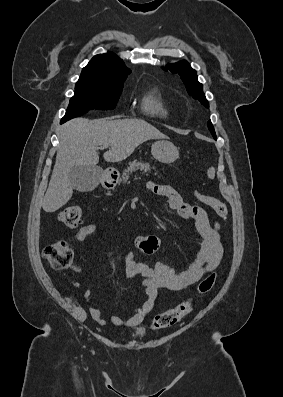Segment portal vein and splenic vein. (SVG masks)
I'll return each instance as SVG.
<instances>
[{
  "instance_id": "portal-vein-and-splenic-vein-1",
  "label": "portal vein and splenic vein",
  "mask_w": 283,
  "mask_h": 397,
  "mask_svg": "<svg viewBox=\"0 0 283 397\" xmlns=\"http://www.w3.org/2000/svg\"><path fill=\"white\" fill-rule=\"evenodd\" d=\"M109 147V144H104L103 145V148H108Z\"/></svg>"
}]
</instances>
